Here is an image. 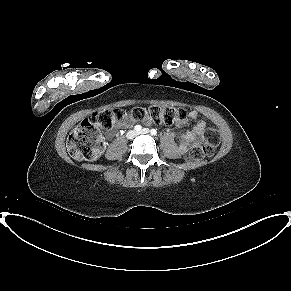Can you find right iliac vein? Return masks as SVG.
Returning <instances> with one entry per match:
<instances>
[{
    "label": "right iliac vein",
    "instance_id": "63e3f726",
    "mask_svg": "<svg viewBox=\"0 0 291 291\" xmlns=\"http://www.w3.org/2000/svg\"><path fill=\"white\" fill-rule=\"evenodd\" d=\"M136 135H137V132L136 131L130 130V131L127 132L126 137L128 139H133Z\"/></svg>",
    "mask_w": 291,
    "mask_h": 291
}]
</instances>
